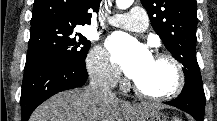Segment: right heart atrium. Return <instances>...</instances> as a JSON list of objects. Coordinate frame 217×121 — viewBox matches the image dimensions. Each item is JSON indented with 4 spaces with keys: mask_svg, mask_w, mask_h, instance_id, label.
Here are the masks:
<instances>
[{
    "mask_svg": "<svg viewBox=\"0 0 217 121\" xmlns=\"http://www.w3.org/2000/svg\"><path fill=\"white\" fill-rule=\"evenodd\" d=\"M86 67L91 78L101 85L114 87L121 81L118 68L103 47H95L89 52Z\"/></svg>",
    "mask_w": 217,
    "mask_h": 121,
    "instance_id": "1",
    "label": "right heart atrium"
}]
</instances>
